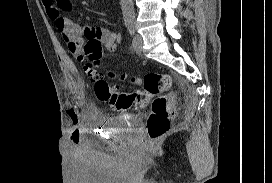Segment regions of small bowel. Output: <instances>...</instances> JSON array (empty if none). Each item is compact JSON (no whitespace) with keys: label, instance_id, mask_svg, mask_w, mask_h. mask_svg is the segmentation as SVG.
<instances>
[{"label":"small bowel","instance_id":"obj_1","mask_svg":"<svg viewBox=\"0 0 272 183\" xmlns=\"http://www.w3.org/2000/svg\"><path fill=\"white\" fill-rule=\"evenodd\" d=\"M42 4L49 18L63 35L73 56L80 58L83 54L84 43L89 41L100 42L110 52L118 50V44L122 41V35L119 32L103 27L76 24L62 13L69 7L67 0H42Z\"/></svg>","mask_w":272,"mask_h":183}]
</instances>
